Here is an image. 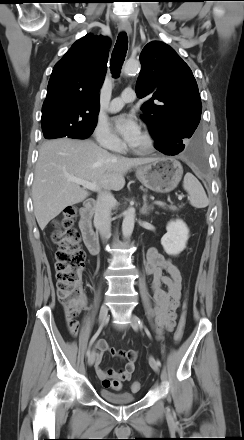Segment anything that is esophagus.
<instances>
[{
	"label": "esophagus",
	"mask_w": 244,
	"mask_h": 440,
	"mask_svg": "<svg viewBox=\"0 0 244 440\" xmlns=\"http://www.w3.org/2000/svg\"><path fill=\"white\" fill-rule=\"evenodd\" d=\"M119 30H120V31H124V32H126L128 35H130L131 32H132V28H131V25H130L129 21H127V20H123V21H121V22L119 23Z\"/></svg>",
	"instance_id": "esophagus-1"
}]
</instances>
